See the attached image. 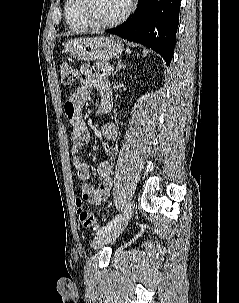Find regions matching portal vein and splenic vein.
Segmentation results:
<instances>
[{
    "instance_id": "18ae733b",
    "label": "portal vein and splenic vein",
    "mask_w": 239,
    "mask_h": 303,
    "mask_svg": "<svg viewBox=\"0 0 239 303\" xmlns=\"http://www.w3.org/2000/svg\"><path fill=\"white\" fill-rule=\"evenodd\" d=\"M109 70L111 71V70H113V69L110 67Z\"/></svg>"
}]
</instances>
